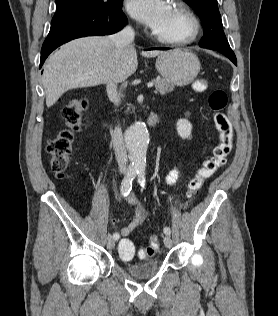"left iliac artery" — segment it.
I'll use <instances>...</instances> for the list:
<instances>
[{"label": "left iliac artery", "mask_w": 278, "mask_h": 316, "mask_svg": "<svg viewBox=\"0 0 278 316\" xmlns=\"http://www.w3.org/2000/svg\"><path fill=\"white\" fill-rule=\"evenodd\" d=\"M138 182L143 188L145 187L146 177H145V168H143V167H140L138 169ZM163 231L166 235H170V233H171V230L169 227H165Z\"/></svg>", "instance_id": "44dca946"}]
</instances>
